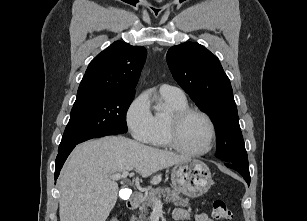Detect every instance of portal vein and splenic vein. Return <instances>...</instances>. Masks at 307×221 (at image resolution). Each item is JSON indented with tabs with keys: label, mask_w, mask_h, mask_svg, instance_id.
<instances>
[{
	"label": "portal vein and splenic vein",
	"mask_w": 307,
	"mask_h": 221,
	"mask_svg": "<svg viewBox=\"0 0 307 221\" xmlns=\"http://www.w3.org/2000/svg\"><path fill=\"white\" fill-rule=\"evenodd\" d=\"M129 175V171H123L122 173L112 175L113 180H119L121 178H126ZM162 202L160 199L155 200L154 207L155 208H162Z\"/></svg>",
	"instance_id": "1"
}]
</instances>
